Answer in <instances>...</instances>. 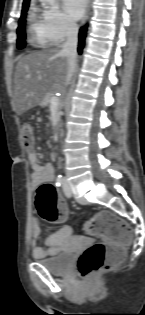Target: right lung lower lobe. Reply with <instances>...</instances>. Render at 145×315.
Returning <instances> with one entry per match:
<instances>
[{
	"mask_svg": "<svg viewBox=\"0 0 145 315\" xmlns=\"http://www.w3.org/2000/svg\"><path fill=\"white\" fill-rule=\"evenodd\" d=\"M85 36H86V27L82 28L79 33V46H78L79 53L82 52V49L84 47Z\"/></svg>",
	"mask_w": 145,
	"mask_h": 315,
	"instance_id": "right-lung-lower-lobe-1",
	"label": "right lung lower lobe"
}]
</instances>
